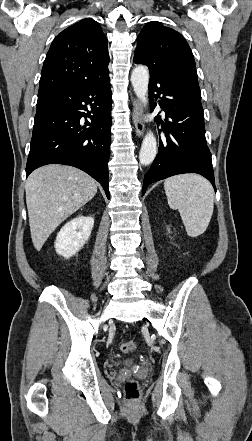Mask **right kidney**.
I'll return each instance as SVG.
<instances>
[{"label": "right kidney", "mask_w": 252, "mask_h": 441, "mask_svg": "<svg viewBox=\"0 0 252 441\" xmlns=\"http://www.w3.org/2000/svg\"><path fill=\"white\" fill-rule=\"evenodd\" d=\"M93 226L94 219L90 216H78L67 222L55 240L57 254L65 258L75 255L88 241Z\"/></svg>", "instance_id": "ca27d5eb"}]
</instances>
